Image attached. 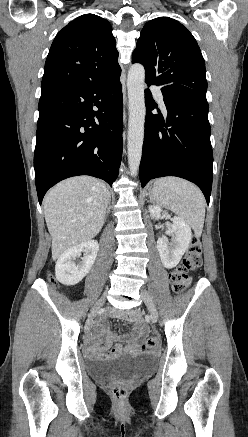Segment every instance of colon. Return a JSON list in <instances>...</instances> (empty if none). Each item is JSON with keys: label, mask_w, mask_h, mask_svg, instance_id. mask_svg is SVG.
Returning a JSON list of instances; mask_svg holds the SVG:
<instances>
[{"label": "colon", "mask_w": 248, "mask_h": 437, "mask_svg": "<svg viewBox=\"0 0 248 437\" xmlns=\"http://www.w3.org/2000/svg\"><path fill=\"white\" fill-rule=\"evenodd\" d=\"M201 243L194 239L191 241L182 263L169 274V280L176 293H182L189 283V272L198 268L202 260ZM158 345L156 337H149L143 344L144 350H151ZM111 392L118 400H123L127 395L126 387L121 383H113L110 386Z\"/></svg>", "instance_id": "5ec220e1"}]
</instances>
